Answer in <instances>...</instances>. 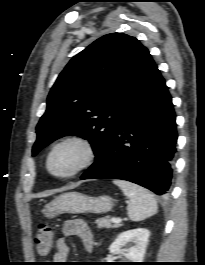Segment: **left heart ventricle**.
Masks as SVG:
<instances>
[{"label":"left heart ventricle","instance_id":"obj_1","mask_svg":"<svg viewBox=\"0 0 205 265\" xmlns=\"http://www.w3.org/2000/svg\"><path fill=\"white\" fill-rule=\"evenodd\" d=\"M82 155V150L78 145L73 143L62 145L52 154L50 168L58 174L67 173L77 166Z\"/></svg>","mask_w":205,"mask_h":265}]
</instances>
